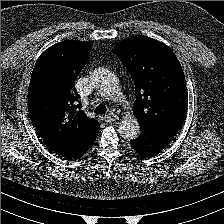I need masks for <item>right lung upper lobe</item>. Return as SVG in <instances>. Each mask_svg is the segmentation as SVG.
I'll list each match as a JSON object with an SVG mask.
<instances>
[{
  "label": "right lung upper lobe",
  "mask_w": 224,
  "mask_h": 224,
  "mask_svg": "<svg viewBox=\"0 0 224 224\" xmlns=\"http://www.w3.org/2000/svg\"><path fill=\"white\" fill-rule=\"evenodd\" d=\"M90 47L87 41L72 40L53 45L38 58L30 80V119L45 144L68 158L95 140L100 128L81 110L73 88Z\"/></svg>",
  "instance_id": "obj_1"
}]
</instances>
